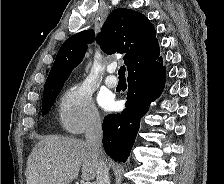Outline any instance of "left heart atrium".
Here are the masks:
<instances>
[{
  "label": "left heart atrium",
  "mask_w": 224,
  "mask_h": 184,
  "mask_svg": "<svg viewBox=\"0 0 224 184\" xmlns=\"http://www.w3.org/2000/svg\"><path fill=\"white\" fill-rule=\"evenodd\" d=\"M102 105L107 109H111L114 107V101L112 99L107 98L102 101Z\"/></svg>",
  "instance_id": "obj_1"
}]
</instances>
